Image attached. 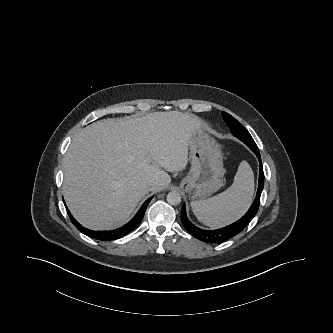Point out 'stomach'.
Here are the masks:
<instances>
[{"label": "stomach", "instance_id": "1", "mask_svg": "<svg viewBox=\"0 0 333 333\" xmlns=\"http://www.w3.org/2000/svg\"><path fill=\"white\" fill-rule=\"evenodd\" d=\"M191 168L181 181V188L193 201L202 200L223 185V157L220 145L203 129L197 131L189 144Z\"/></svg>", "mask_w": 333, "mask_h": 333}]
</instances>
